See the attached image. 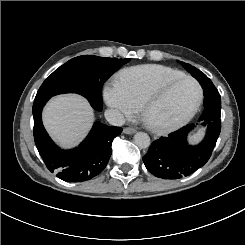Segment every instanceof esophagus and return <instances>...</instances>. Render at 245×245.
Returning a JSON list of instances; mask_svg holds the SVG:
<instances>
[{
    "mask_svg": "<svg viewBox=\"0 0 245 245\" xmlns=\"http://www.w3.org/2000/svg\"><path fill=\"white\" fill-rule=\"evenodd\" d=\"M123 132L125 134H134L136 132V130L134 128L126 127V128L123 129Z\"/></svg>",
    "mask_w": 245,
    "mask_h": 245,
    "instance_id": "1",
    "label": "esophagus"
}]
</instances>
